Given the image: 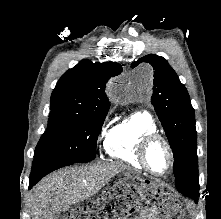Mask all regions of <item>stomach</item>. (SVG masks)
<instances>
[{"label":"stomach","mask_w":221,"mask_h":219,"mask_svg":"<svg viewBox=\"0 0 221 219\" xmlns=\"http://www.w3.org/2000/svg\"><path fill=\"white\" fill-rule=\"evenodd\" d=\"M144 183H151L155 190H151V194H147V199H171L170 190H164L163 187L156 183L151 182V178H144Z\"/></svg>","instance_id":"obj_1"}]
</instances>
